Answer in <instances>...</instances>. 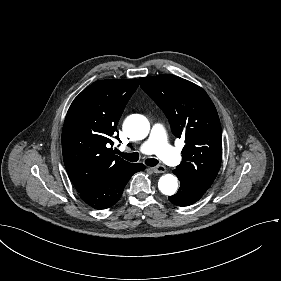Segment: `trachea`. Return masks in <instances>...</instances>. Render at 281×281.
Instances as JSON below:
<instances>
[{"label": "trachea", "mask_w": 281, "mask_h": 281, "mask_svg": "<svg viewBox=\"0 0 281 281\" xmlns=\"http://www.w3.org/2000/svg\"><path fill=\"white\" fill-rule=\"evenodd\" d=\"M118 154L123 157L124 159H126L127 161L130 162H136L139 160V154L138 153H122V152H118ZM159 163V161L157 159L154 158H148L145 160V164L152 167V166H156Z\"/></svg>", "instance_id": "obj_1"}]
</instances>
